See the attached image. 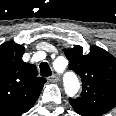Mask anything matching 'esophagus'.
<instances>
[{
	"label": "esophagus",
	"mask_w": 116,
	"mask_h": 116,
	"mask_svg": "<svg viewBox=\"0 0 116 116\" xmlns=\"http://www.w3.org/2000/svg\"><path fill=\"white\" fill-rule=\"evenodd\" d=\"M58 80H59V78H58V76L55 75V74H53L52 76H50V77L48 78V81H50V82H52V83L57 82Z\"/></svg>",
	"instance_id": "obj_1"
}]
</instances>
